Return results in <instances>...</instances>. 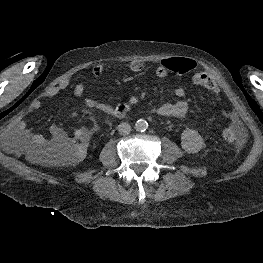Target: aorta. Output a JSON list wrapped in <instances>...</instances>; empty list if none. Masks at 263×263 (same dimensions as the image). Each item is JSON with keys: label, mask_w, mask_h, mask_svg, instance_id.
Here are the masks:
<instances>
[{"label": "aorta", "mask_w": 263, "mask_h": 263, "mask_svg": "<svg viewBox=\"0 0 263 263\" xmlns=\"http://www.w3.org/2000/svg\"><path fill=\"white\" fill-rule=\"evenodd\" d=\"M135 128L137 131L140 132H144L146 131V129L148 128V123L146 120L144 119H139L136 123H135Z\"/></svg>", "instance_id": "1"}]
</instances>
